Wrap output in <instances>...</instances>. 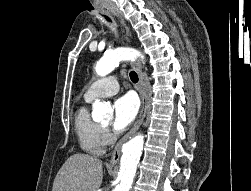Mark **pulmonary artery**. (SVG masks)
Masks as SVG:
<instances>
[{"label": "pulmonary artery", "mask_w": 251, "mask_h": 191, "mask_svg": "<svg viewBox=\"0 0 251 191\" xmlns=\"http://www.w3.org/2000/svg\"><path fill=\"white\" fill-rule=\"evenodd\" d=\"M119 88L120 85L117 76H102L90 83L85 91L84 97L91 100L97 97L113 96L119 91Z\"/></svg>", "instance_id": "obj_1"}]
</instances>
